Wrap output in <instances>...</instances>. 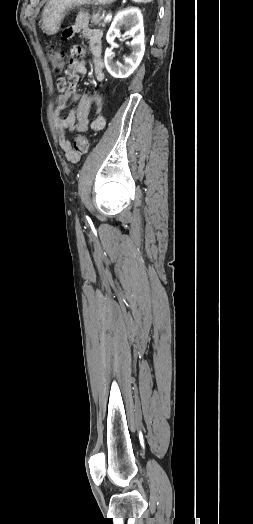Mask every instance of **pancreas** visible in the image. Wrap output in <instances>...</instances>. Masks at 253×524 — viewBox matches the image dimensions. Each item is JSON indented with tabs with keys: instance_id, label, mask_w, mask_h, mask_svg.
I'll return each mask as SVG.
<instances>
[{
	"instance_id": "1",
	"label": "pancreas",
	"mask_w": 253,
	"mask_h": 524,
	"mask_svg": "<svg viewBox=\"0 0 253 524\" xmlns=\"http://www.w3.org/2000/svg\"><path fill=\"white\" fill-rule=\"evenodd\" d=\"M102 19H103V17L101 15V11H94L92 13L91 22L94 25L105 27L107 22H105V21L103 22Z\"/></svg>"
}]
</instances>
